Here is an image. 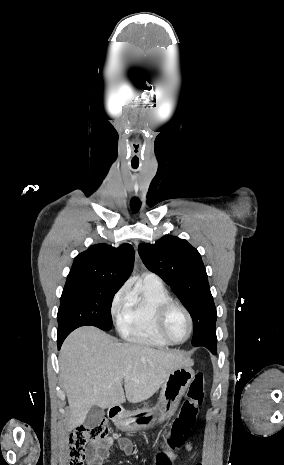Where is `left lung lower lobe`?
I'll return each mask as SVG.
<instances>
[{
  "label": "left lung lower lobe",
  "instance_id": "0a47b994",
  "mask_svg": "<svg viewBox=\"0 0 284 465\" xmlns=\"http://www.w3.org/2000/svg\"><path fill=\"white\" fill-rule=\"evenodd\" d=\"M205 347H206L208 350H210L213 354L216 353V349H217L216 343H215V344H206Z\"/></svg>",
  "mask_w": 284,
  "mask_h": 465
}]
</instances>
